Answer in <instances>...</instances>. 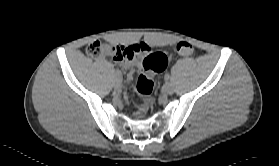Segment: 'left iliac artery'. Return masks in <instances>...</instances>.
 Wrapping results in <instances>:
<instances>
[{"label": "left iliac artery", "mask_w": 279, "mask_h": 166, "mask_svg": "<svg viewBox=\"0 0 279 166\" xmlns=\"http://www.w3.org/2000/svg\"><path fill=\"white\" fill-rule=\"evenodd\" d=\"M164 78H165V80H169L170 79V75L169 74H165Z\"/></svg>", "instance_id": "left-iliac-artery-1"}]
</instances>
